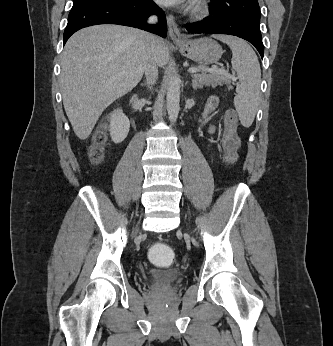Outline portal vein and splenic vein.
Returning a JSON list of instances; mask_svg holds the SVG:
<instances>
[{
	"label": "portal vein and splenic vein",
	"instance_id": "obj_1",
	"mask_svg": "<svg viewBox=\"0 0 333 346\" xmlns=\"http://www.w3.org/2000/svg\"><path fill=\"white\" fill-rule=\"evenodd\" d=\"M190 73H195V72H198L199 69L196 68V67H190L189 70H188ZM205 71L207 72H220V73H225L227 74L228 72L225 70V69H217V68H211V69H206Z\"/></svg>",
	"mask_w": 333,
	"mask_h": 346
}]
</instances>
